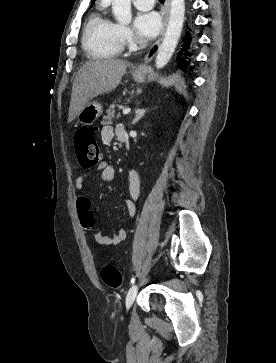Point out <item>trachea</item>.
<instances>
[{
    "instance_id": "3493384b",
    "label": "trachea",
    "mask_w": 276,
    "mask_h": 363,
    "mask_svg": "<svg viewBox=\"0 0 276 363\" xmlns=\"http://www.w3.org/2000/svg\"><path fill=\"white\" fill-rule=\"evenodd\" d=\"M161 2H164L165 0H160Z\"/></svg>"
}]
</instances>
